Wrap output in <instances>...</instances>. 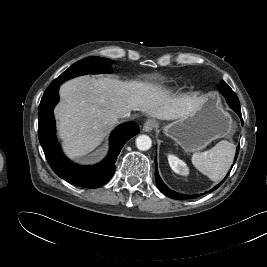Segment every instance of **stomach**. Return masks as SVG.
Masks as SVG:
<instances>
[{
	"mask_svg": "<svg viewBox=\"0 0 267 267\" xmlns=\"http://www.w3.org/2000/svg\"><path fill=\"white\" fill-rule=\"evenodd\" d=\"M164 133L186 152H197L215 139L232 134L231 115L216 96L203 99L192 113L164 127Z\"/></svg>",
	"mask_w": 267,
	"mask_h": 267,
	"instance_id": "0dacf381",
	"label": "stomach"
}]
</instances>
